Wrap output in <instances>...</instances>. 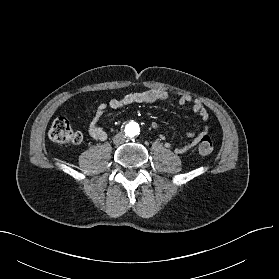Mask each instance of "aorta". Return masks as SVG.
Instances as JSON below:
<instances>
[{"mask_svg": "<svg viewBox=\"0 0 279 279\" xmlns=\"http://www.w3.org/2000/svg\"><path fill=\"white\" fill-rule=\"evenodd\" d=\"M125 131L130 137H134L139 134V124L134 121H130L125 126Z\"/></svg>", "mask_w": 279, "mask_h": 279, "instance_id": "1", "label": "aorta"}]
</instances>
